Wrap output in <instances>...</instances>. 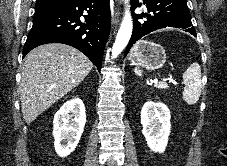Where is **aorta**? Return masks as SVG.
Returning <instances> with one entry per match:
<instances>
[{
  "mask_svg": "<svg viewBox=\"0 0 227 166\" xmlns=\"http://www.w3.org/2000/svg\"><path fill=\"white\" fill-rule=\"evenodd\" d=\"M126 11L121 27L116 36L115 42L112 47V57L116 58L127 46L133 29L132 17L129 10V0H125Z\"/></svg>",
  "mask_w": 227,
  "mask_h": 166,
  "instance_id": "762f6f07",
  "label": "aorta"
}]
</instances>
